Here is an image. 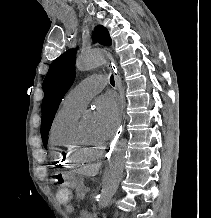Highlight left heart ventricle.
Here are the masks:
<instances>
[{
  "instance_id": "b2bd125f",
  "label": "left heart ventricle",
  "mask_w": 211,
  "mask_h": 218,
  "mask_svg": "<svg viewBox=\"0 0 211 218\" xmlns=\"http://www.w3.org/2000/svg\"><path fill=\"white\" fill-rule=\"evenodd\" d=\"M83 135L92 142H100L103 139L98 135L94 121H89L81 125Z\"/></svg>"
}]
</instances>
